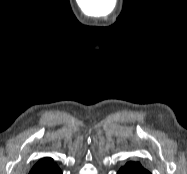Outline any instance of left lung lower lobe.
Instances as JSON below:
<instances>
[{"instance_id": "1", "label": "left lung lower lobe", "mask_w": 187, "mask_h": 174, "mask_svg": "<svg viewBox=\"0 0 187 174\" xmlns=\"http://www.w3.org/2000/svg\"><path fill=\"white\" fill-rule=\"evenodd\" d=\"M117 174H151L145 170L142 166H134L127 163L122 167Z\"/></svg>"}]
</instances>
